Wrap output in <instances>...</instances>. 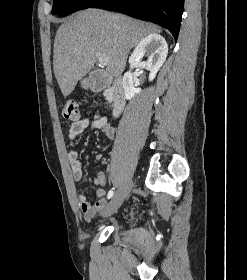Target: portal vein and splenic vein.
I'll return each mask as SVG.
<instances>
[{
    "mask_svg": "<svg viewBox=\"0 0 247 280\" xmlns=\"http://www.w3.org/2000/svg\"><path fill=\"white\" fill-rule=\"evenodd\" d=\"M96 56L98 58V61L101 65L106 66L109 63V57L105 56V55H101L99 53H96Z\"/></svg>",
    "mask_w": 247,
    "mask_h": 280,
    "instance_id": "obj_1",
    "label": "portal vein and splenic vein"
}]
</instances>
